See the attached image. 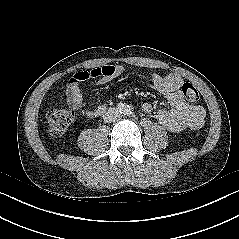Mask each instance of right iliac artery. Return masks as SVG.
<instances>
[{"instance_id": "obj_1", "label": "right iliac artery", "mask_w": 239, "mask_h": 239, "mask_svg": "<svg viewBox=\"0 0 239 239\" xmlns=\"http://www.w3.org/2000/svg\"><path fill=\"white\" fill-rule=\"evenodd\" d=\"M117 108H118L119 111H123V109H124V104H123V103H119V104L117 105Z\"/></svg>"}]
</instances>
